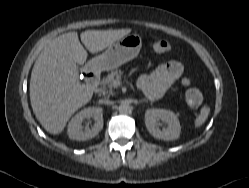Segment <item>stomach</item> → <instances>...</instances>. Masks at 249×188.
I'll list each match as a JSON object with an SVG mask.
<instances>
[{
	"mask_svg": "<svg viewBox=\"0 0 249 188\" xmlns=\"http://www.w3.org/2000/svg\"><path fill=\"white\" fill-rule=\"evenodd\" d=\"M142 39L137 34H129L110 45L102 54L89 62V67L95 71L113 70L134 59L139 54Z\"/></svg>",
	"mask_w": 249,
	"mask_h": 188,
	"instance_id": "1",
	"label": "stomach"
}]
</instances>
